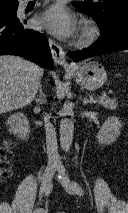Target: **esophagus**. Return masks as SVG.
Listing matches in <instances>:
<instances>
[{"label": "esophagus", "instance_id": "34e87169", "mask_svg": "<svg viewBox=\"0 0 128 213\" xmlns=\"http://www.w3.org/2000/svg\"><path fill=\"white\" fill-rule=\"evenodd\" d=\"M48 42L54 62L57 65L62 66L64 69H70L71 66L66 61L65 52L62 47L52 38H48Z\"/></svg>", "mask_w": 128, "mask_h": 213}]
</instances>
